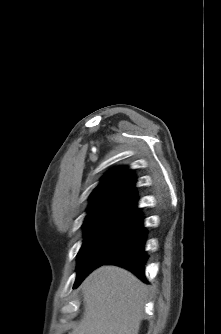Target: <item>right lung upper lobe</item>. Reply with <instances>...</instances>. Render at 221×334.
I'll return each instance as SVG.
<instances>
[{"label":"right lung upper lobe","instance_id":"obj_1","mask_svg":"<svg viewBox=\"0 0 221 334\" xmlns=\"http://www.w3.org/2000/svg\"><path fill=\"white\" fill-rule=\"evenodd\" d=\"M135 178L130 170L117 167L103 177V181L90 195L87 219L98 216H136L138 197L134 191Z\"/></svg>","mask_w":221,"mask_h":334}]
</instances>
